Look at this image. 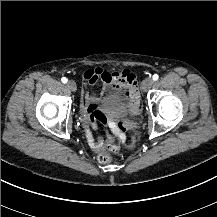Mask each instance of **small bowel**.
<instances>
[{"instance_id":"c3829d8e","label":"small bowel","mask_w":217,"mask_h":217,"mask_svg":"<svg viewBox=\"0 0 217 217\" xmlns=\"http://www.w3.org/2000/svg\"><path fill=\"white\" fill-rule=\"evenodd\" d=\"M108 81H103L104 86L101 91L102 96L112 94L126 102L131 113H137L139 107V93L137 91V77L129 69H123L110 73ZM81 122L86 132V138L90 149L100 154L104 151L115 135L120 140L125 137L126 121L124 119H113L106 116L96 103V96L90 94L84 86L82 91ZM99 123H103L107 129V139L95 136L93 132L99 129Z\"/></svg>"}]
</instances>
